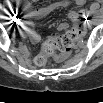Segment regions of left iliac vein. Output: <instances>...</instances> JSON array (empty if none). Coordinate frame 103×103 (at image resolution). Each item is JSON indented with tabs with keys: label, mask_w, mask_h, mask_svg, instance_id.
Wrapping results in <instances>:
<instances>
[{
	"label": "left iliac vein",
	"mask_w": 103,
	"mask_h": 103,
	"mask_svg": "<svg viewBox=\"0 0 103 103\" xmlns=\"http://www.w3.org/2000/svg\"><path fill=\"white\" fill-rule=\"evenodd\" d=\"M91 24H92L91 21H87L86 26H87V27H90Z\"/></svg>",
	"instance_id": "4c4485c4"
}]
</instances>
